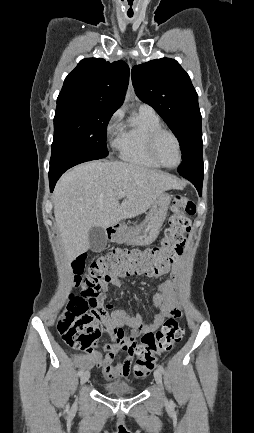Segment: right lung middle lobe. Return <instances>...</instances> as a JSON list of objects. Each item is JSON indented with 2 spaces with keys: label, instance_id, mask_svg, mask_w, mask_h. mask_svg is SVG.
I'll return each mask as SVG.
<instances>
[{
  "label": "right lung middle lobe",
  "instance_id": "obj_1",
  "mask_svg": "<svg viewBox=\"0 0 254 433\" xmlns=\"http://www.w3.org/2000/svg\"><path fill=\"white\" fill-rule=\"evenodd\" d=\"M114 111L94 104L56 107L52 152L72 146L101 159L107 156L106 130Z\"/></svg>",
  "mask_w": 254,
  "mask_h": 433
}]
</instances>
